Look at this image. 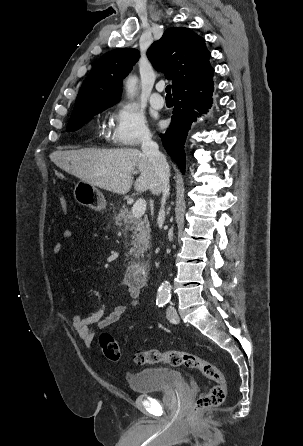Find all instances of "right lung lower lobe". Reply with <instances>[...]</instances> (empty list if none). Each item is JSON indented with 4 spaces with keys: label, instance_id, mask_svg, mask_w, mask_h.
Masks as SVG:
<instances>
[{
    "label": "right lung lower lobe",
    "instance_id": "98d812e1",
    "mask_svg": "<svg viewBox=\"0 0 303 446\" xmlns=\"http://www.w3.org/2000/svg\"><path fill=\"white\" fill-rule=\"evenodd\" d=\"M214 82L212 76L189 84L173 93L175 107L169 128L160 135L164 148L185 172L184 143L190 125L199 113L211 107ZM199 112V113H198Z\"/></svg>",
    "mask_w": 303,
    "mask_h": 446
}]
</instances>
